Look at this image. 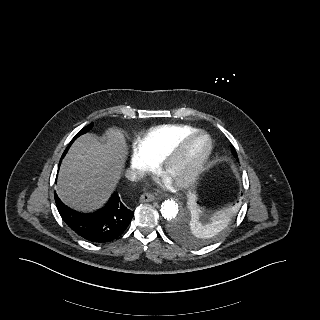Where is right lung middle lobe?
Returning a JSON list of instances; mask_svg holds the SVG:
<instances>
[{
  "instance_id": "1",
  "label": "right lung middle lobe",
  "mask_w": 320,
  "mask_h": 320,
  "mask_svg": "<svg viewBox=\"0 0 320 320\" xmlns=\"http://www.w3.org/2000/svg\"><path fill=\"white\" fill-rule=\"evenodd\" d=\"M92 126H93V123L89 124L88 126L84 127L82 130H80V131L77 133V135L72 139V141L70 142V144H69L68 147L66 148L65 152L68 151L70 145L73 143V141H74L77 137H79L80 135L88 132V131L92 128ZM65 152L63 153V156L65 155Z\"/></svg>"
}]
</instances>
